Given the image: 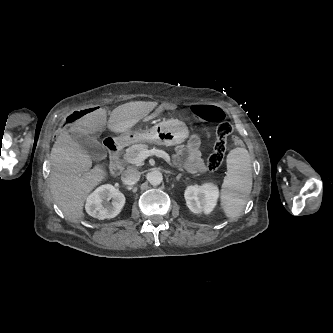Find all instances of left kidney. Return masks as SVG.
<instances>
[{"instance_id":"1","label":"left kidney","mask_w":333,"mask_h":333,"mask_svg":"<svg viewBox=\"0 0 333 333\" xmlns=\"http://www.w3.org/2000/svg\"><path fill=\"white\" fill-rule=\"evenodd\" d=\"M218 196V187L212 183L189 186L185 191L186 204L193 213H211Z\"/></svg>"}]
</instances>
